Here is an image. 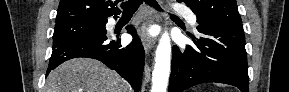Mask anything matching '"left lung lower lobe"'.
<instances>
[{
	"label": "left lung lower lobe",
	"mask_w": 289,
	"mask_h": 92,
	"mask_svg": "<svg viewBox=\"0 0 289 92\" xmlns=\"http://www.w3.org/2000/svg\"><path fill=\"white\" fill-rule=\"evenodd\" d=\"M195 45L181 52L173 47L169 92L205 82H220L249 92L245 36L242 28L219 23L198 22Z\"/></svg>",
	"instance_id": "left-lung-lower-lobe-1"
}]
</instances>
